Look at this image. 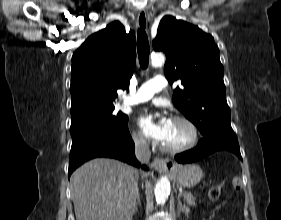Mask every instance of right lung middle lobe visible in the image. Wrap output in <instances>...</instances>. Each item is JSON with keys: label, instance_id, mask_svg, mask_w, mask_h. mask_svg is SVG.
Listing matches in <instances>:
<instances>
[{"label": "right lung middle lobe", "instance_id": "obj_1", "mask_svg": "<svg viewBox=\"0 0 281 220\" xmlns=\"http://www.w3.org/2000/svg\"><path fill=\"white\" fill-rule=\"evenodd\" d=\"M114 109L96 112L71 119L70 133L72 140L88 135H121L129 133L128 116Z\"/></svg>", "mask_w": 281, "mask_h": 220}]
</instances>
